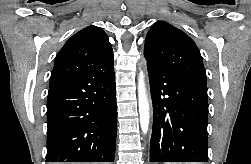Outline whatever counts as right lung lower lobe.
<instances>
[{"mask_svg": "<svg viewBox=\"0 0 251 164\" xmlns=\"http://www.w3.org/2000/svg\"><path fill=\"white\" fill-rule=\"evenodd\" d=\"M114 65L50 86L46 162H113Z\"/></svg>", "mask_w": 251, "mask_h": 164, "instance_id": "right-lung-lower-lobe-1", "label": "right lung lower lobe"}]
</instances>
